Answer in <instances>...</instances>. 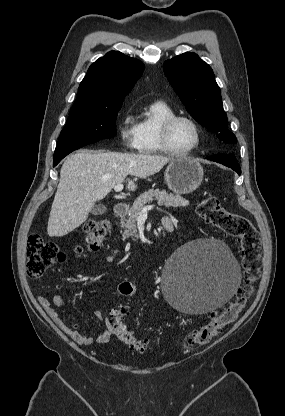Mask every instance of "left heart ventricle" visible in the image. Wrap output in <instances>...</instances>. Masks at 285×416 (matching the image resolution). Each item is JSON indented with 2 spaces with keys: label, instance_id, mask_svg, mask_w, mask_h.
<instances>
[{
  "label": "left heart ventricle",
  "instance_id": "b2bd125f",
  "mask_svg": "<svg viewBox=\"0 0 285 416\" xmlns=\"http://www.w3.org/2000/svg\"><path fill=\"white\" fill-rule=\"evenodd\" d=\"M170 142L178 151L190 149L196 143L194 127L186 120L176 121L170 131Z\"/></svg>",
  "mask_w": 285,
  "mask_h": 416
}]
</instances>
